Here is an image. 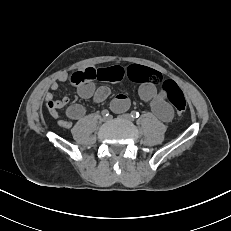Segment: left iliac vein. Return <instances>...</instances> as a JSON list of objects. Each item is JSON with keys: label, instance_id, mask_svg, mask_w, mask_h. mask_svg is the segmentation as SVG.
Segmentation results:
<instances>
[{"label": "left iliac vein", "instance_id": "4c4485c4", "mask_svg": "<svg viewBox=\"0 0 231 231\" xmlns=\"http://www.w3.org/2000/svg\"><path fill=\"white\" fill-rule=\"evenodd\" d=\"M121 118L126 120V121H130V122L133 120V118L130 114H123V115H121Z\"/></svg>", "mask_w": 231, "mask_h": 231}]
</instances>
